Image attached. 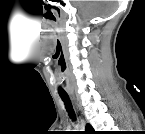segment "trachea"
<instances>
[{
	"instance_id": "3493384b",
	"label": "trachea",
	"mask_w": 145,
	"mask_h": 134,
	"mask_svg": "<svg viewBox=\"0 0 145 134\" xmlns=\"http://www.w3.org/2000/svg\"><path fill=\"white\" fill-rule=\"evenodd\" d=\"M62 100L64 101L67 111L69 112V115L75 119L74 111L72 109V105L70 103L69 97L67 95H61Z\"/></svg>"
}]
</instances>
